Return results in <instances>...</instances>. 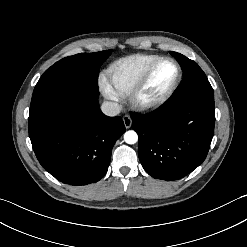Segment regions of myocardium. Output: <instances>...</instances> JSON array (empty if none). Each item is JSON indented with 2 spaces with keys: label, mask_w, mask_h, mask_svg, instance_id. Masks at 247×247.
Segmentation results:
<instances>
[{
  "label": "myocardium",
  "mask_w": 247,
  "mask_h": 247,
  "mask_svg": "<svg viewBox=\"0 0 247 247\" xmlns=\"http://www.w3.org/2000/svg\"><path fill=\"white\" fill-rule=\"evenodd\" d=\"M163 61L172 62L177 69V75L172 83V85L160 95H157L152 98H144L142 96L143 89L145 88L151 74L154 69ZM182 79V69L179 62L172 57H160L155 60L141 75L139 80L136 82L134 87L131 89L129 93V99L132 105L141 110H150L155 109L161 105H163L176 91Z\"/></svg>",
  "instance_id": "myocardium-1"
}]
</instances>
